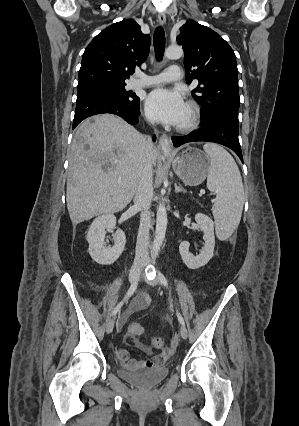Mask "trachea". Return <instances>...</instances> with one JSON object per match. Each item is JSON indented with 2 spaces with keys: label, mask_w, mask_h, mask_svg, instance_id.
<instances>
[{
  "label": "trachea",
  "mask_w": 299,
  "mask_h": 426,
  "mask_svg": "<svg viewBox=\"0 0 299 426\" xmlns=\"http://www.w3.org/2000/svg\"><path fill=\"white\" fill-rule=\"evenodd\" d=\"M153 45L157 59H161L165 50V33L162 26L156 28L153 37Z\"/></svg>",
  "instance_id": "1"
}]
</instances>
